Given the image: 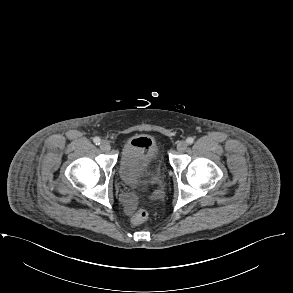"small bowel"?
Listing matches in <instances>:
<instances>
[{
    "instance_id": "small-bowel-1",
    "label": "small bowel",
    "mask_w": 293,
    "mask_h": 293,
    "mask_svg": "<svg viewBox=\"0 0 293 293\" xmlns=\"http://www.w3.org/2000/svg\"><path fill=\"white\" fill-rule=\"evenodd\" d=\"M131 143L134 145H148L151 144V141L142 135L135 136ZM121 201L124 203L125 210L128 214H131L134 211V208L136 206V195L133 192L130 191H123L120 194Z\"/></svg>"
}]
</instances>
